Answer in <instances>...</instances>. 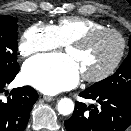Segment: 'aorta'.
<instances>
[{"label":"aorta","instance_id":"aorta-1","mask_svg":"<svg viewBox=\"0 0 131 131\" xmlns=\"http://www.w3.org/2000/svg\"><path fill=\"white\" fill-rule=\"evenodd\" d=\"M57 110L61 115H69L74 110V103L69 98H62L57 104Z\"/></svg>","mask_w":131,"mask_h":131}]
</instances>
